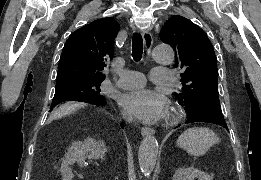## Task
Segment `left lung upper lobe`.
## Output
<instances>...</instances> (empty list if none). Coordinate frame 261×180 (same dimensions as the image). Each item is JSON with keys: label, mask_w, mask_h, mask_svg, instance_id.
Instances as JSON below:
<instances>
[{"label": "left lung upper lobe", "mask_w": 261, "mask_h": 180, "mask_svg": "<svg viewBox=\"0 0 261 180\" xmlns=\"http://www.w3.org/2000/svg\"><path fill=\"white\" fill-rule=\"evenodd\" d=\"M162 42L173 47L175 67L181 69L182 90L175 93L187 113H221L217 59L206 33L190 20L175 15L160 31Z\"/></svg>", "instance_id": "obj_1"}]
</instances>
